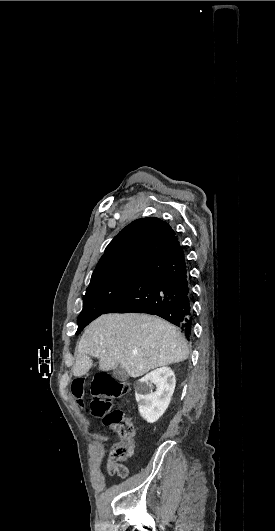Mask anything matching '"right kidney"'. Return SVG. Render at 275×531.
I'll use <instances>...</instances> for the list:
<instances>
[{
  "label": "right kidney",
  "mask_w": 275,
  "mask_h": 531,
  "mask_svg": "<svg viewBox=\"0 0 275 531\" xmlns=\"http://www.w3.org/2000/svg\"><path fill=\"white\" fill-rule=\"evenodd\" d=\"M153 385L157 387L155 393H152ZM175 385V375L169 367L155 369L134 383L139 413L147 423H156L165 413Z\"/></svg>",
  "instance_id": "ca27d5eb"
}]
</instances>
